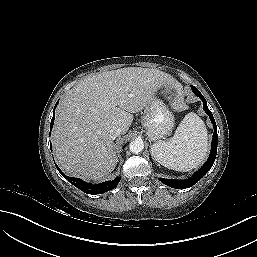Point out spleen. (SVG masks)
<instances>
[{
    "label": "spleen",
    "instance_id": "obj_1",
    "mask_svg": "<svg viewBox=\"0 0 257 257\" xmlns=\"http://www.w3.org/2000/svg\"><path fill=\"white\" fill-rule=\"evenodd\" d=\"M207 129L195 114L188 113L167 141H156L151 153L161 165L176 171H189L198 167L208 151Z\"/></svg>",
    "mask_w": 257,
    "mask_h": 257
}]
</instances>
